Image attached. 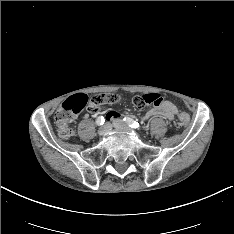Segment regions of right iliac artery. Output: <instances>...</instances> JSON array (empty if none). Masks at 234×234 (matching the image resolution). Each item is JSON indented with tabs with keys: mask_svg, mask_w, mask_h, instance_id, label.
<instances>
[{
	"mask_svg": "<svg viewBox=\"0 0 234 234\" xmlns=\"http://www.w3.org/2000/svg\"><path fill=\"white\" fill-rule=\"evenodd\" d=\"M104 122H105V119H104L103 116L98 117L97 120H96V124H97L98 126L103 125Z\"/></svg>",
	"mask_w": 234,
	"mask_h": 234,
	"instance_id": "82829eb1",
	"label": "right iliac artery"
}]
</instances>
